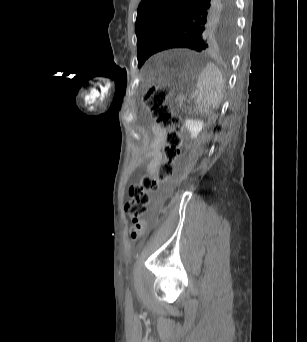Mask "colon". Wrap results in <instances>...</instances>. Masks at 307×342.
<instances>
[{"label": "colon", "instance_id": "obj_1", "mask_svg": "<svg viewBox=\"0 0 307 342\" xmlns=\"http://www.w3.org/2000/svg\"><path fill=\"white\" fill-rule=\"evenodd\" d=\"M167 87H150L147 90V108L156 125L167 130L163 155L153 174H144L140 180L131 184L125 211L131 217L130 235L138 239L147 229L143 216L148 210L150 193L158 190L160 183L175 176V161L180 157L182 146V126L167 105Z\"/></svg>", "mask_w": 307, "mask_h": 342}]
</instances>
